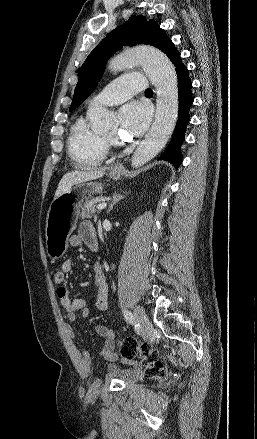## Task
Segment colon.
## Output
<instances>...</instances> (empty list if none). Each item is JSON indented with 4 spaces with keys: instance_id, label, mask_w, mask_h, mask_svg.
I'll list each match as a JSON object with an SVG mask.
<instances>
[{
    "instance_id": "obj_1",
    "label": "colon",
    "mask_w": 257,
    "mask_h": 439,
    "mask_svg": "<svg viewBox=\"0 0 257 439\" xmlns=\"http://www.w3.org/2000/svg\"><path fill=\"white\" fill-rule=\"evenodd\" d=\"M56 283L64 281V273L57 271L54 274ZM117 347L120 355L125 359H132L135 356L141 358L145 367V375L148 378L162 381L166 378L167 373L160 359L159 352L148 344H139L135 339L126 337L118 340Z\"/></svg>"
}]
</instances>
